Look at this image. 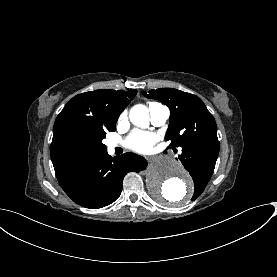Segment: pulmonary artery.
<instances>
[{"mask_svg":"<svg viewBox=\"0 0 277 277\" xmlns=\"http://www.w3.org/2000/svg\"><path fill=\"white\" fill-rule=\"evenodd\" d=\"M151 123L155 126H163L166 124L170 117V110L167 106L158 103L152 102L147 107ZM112 146H116V143H112Z\"/></svg>","mask_w":277,"mask_h":277,"instance_id":"1","label":"pulmonary artery"}]
</instances>
